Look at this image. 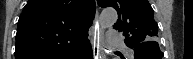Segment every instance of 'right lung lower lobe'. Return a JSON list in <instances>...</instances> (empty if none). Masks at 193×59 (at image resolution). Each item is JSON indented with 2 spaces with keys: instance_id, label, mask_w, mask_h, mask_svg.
Listing matches in <instances>:
<instances>
[{
  "instance_id": "98d812e1",
  "label": "right lung lower lobe",
  "mask_w": 193,
  "mask_h": 59,
  "mask_svg": "<svg viewBox=\"0 0 193 59\" xmlns=\"http://www.w3.org/2000/svg\"><path fill=\"white\" fill-rule=\"evenodd\" d=\"M63 59H92V49L89 40Z\"/></svg>"
}]
</instances>
